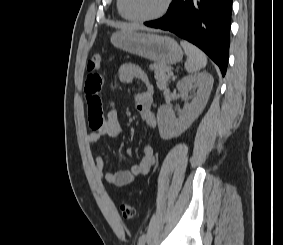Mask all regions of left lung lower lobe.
<instances>
[{
    "instance_id": "0a47b994",
    "label": "left lung lower lobe",
    "mask_w": 283,
    "mask_h": 245,
    "mask_svg": "<svg viewBox=\"0 0 283 245\" xmlns=\"http://www.w3.org/2000/svg\"><path fill=\"white\" fill-rule=\"evenodd\" d=\"M232 0H173L164 17L145 22L169 30L202 49L226 73Z\"/></svg>"
}]
</instances>
